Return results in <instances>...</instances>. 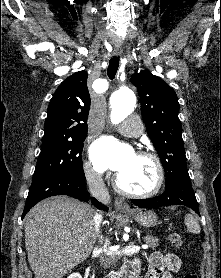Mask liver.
I'll return each mask as SVG.
<instances>
[{"instance_id":"liver-1","label":"liver","mask_w":221,"mask_h":278,"mask_svg":"<svg viewBox=\"0 0 221 278\" xmlns=\"http://www.w3.org/2000/svg\"><path fill=\"white\" fill-rule=\"evenodd\" d=\"M90 205L56 196L25 217V247L35 278H62L89 257L96 238Z\"/></svg>"}]
</instances>
